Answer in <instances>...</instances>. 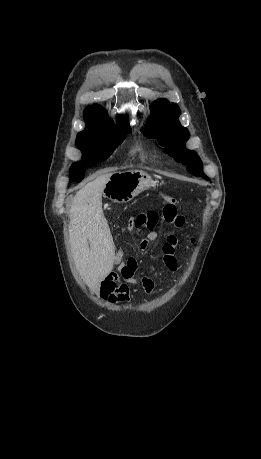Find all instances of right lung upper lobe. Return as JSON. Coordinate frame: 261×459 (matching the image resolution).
<instances>
[{
  "instance_id": "obj_1",
  "label": "right lung upper lobe",
  "mask_w": 261,
  "mask_h": 459,
  "mask_svg": "<svg viewBox=\"0 0 261 459\" xmlns=\"http://www.w3.org/2000/svg\"><path fill=\"white\" fill-rule=\"evenodd\" d=\"M105 111L101 107L91 106L84 110V119L86 122V128L80 132L88 133V132H96V131H103L108 128L114 127V122L111 119H107L105 116ZM119 120L125 121L126 118L122 116L119 117ZM126 122H122L121 125H125Z\"/></svg>"
}]
</instances>
